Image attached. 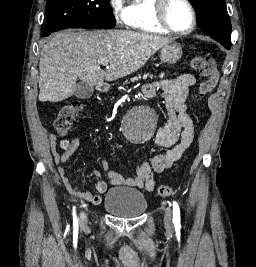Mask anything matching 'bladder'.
<instances>
[{"label":"bladder","instance_id":"obj_1","mask_svg":"<svg viewBox=\"0 0 256 267\" xmlns=\"http://www.w3.org/2000/svg\"><path fill=\"white\" fill-rule=\"evenodd\" d=\"M103 206L114 216L135 217L146 209V199L135 189H112L106 194Z\"/></svg>","mask_w":256,"mask_h":267}]
</instances>
